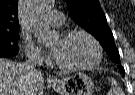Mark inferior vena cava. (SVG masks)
<instances>
[{
	"label": "inferior vena cava",
	"instance_id": "602c4592",
	"mask_svg": "<svg viewBox=\"0 0 135 95\" xmlns=\"http://www.w3.org/2000/svg\"><path fill=\"white\" fill-rule=\"evenodd\" d=\"M42 64V60L39 54L30 53L27 62L24 64V68L30 74H34L37 70L36 67Z\"/></svg>",
	"mask_w": 135,
	"mask_h": 95
}]
</instances>
